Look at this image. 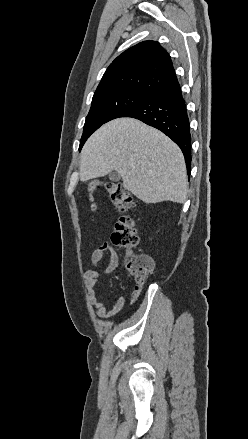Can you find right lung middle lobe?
Instances as JSON below:
<instances>
[{
	"mask_svg": "<svg viewBox=\"0 0 248 439\" xmlns=\"http://www.w3.org/2000/svg\"><path fill=\"white\" fill-rule=\"evenodd\" d=\"M149 95L135 91H120L93 98L90 111L86 117L84 131L79 150L88 137L102 124L121 117L125 112L135 107Z\"/></svg>",
	"mask_w": 248,
	"mask_h": 439,
	"instance_id": "dd1d6c3e",
	"label": "right lung middle lobe"
}]
</instances>
